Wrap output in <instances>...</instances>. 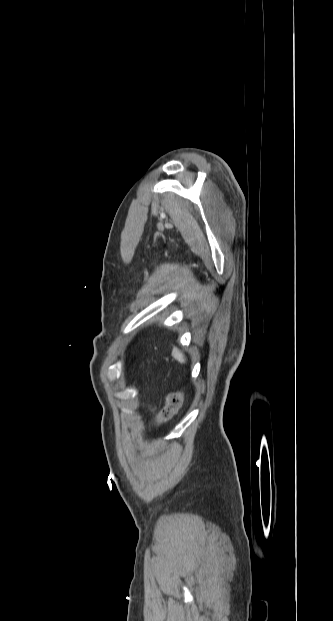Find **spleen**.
Listing matches in <instances>:
<instances>
[{
    "instance_id": "3e777b00",
    "label": "spleen",
    "mask_w": 333,
    "mask_h": 621,
    "mask_svg": "<svg viewBox=\"0 0 333 621\" xmlns=\"http://www.w3.org/2000/svg\"><path fill=\"white\" fill-rule=\"evenodd\" d=\"M172 356L175 360H177L178 362L182 364L186 362V358L184 354L175 347L172 350Z\"/></svg>"
}]
</instances>
